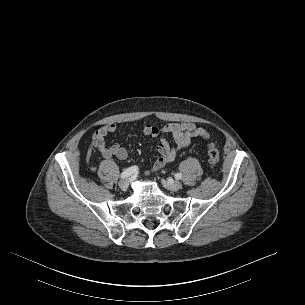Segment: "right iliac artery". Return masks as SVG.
Segmentation results:
<instances>
[{
  "label": "right iliac artery",
  "instance_id": "obj_1",
  "mask_svg": "<svg viewBox=\"0 0 305 305\" xmlns=\"http://www.w3.org/2000/svg\"><path fill=\"white\" fill-rule=\"evenodd\" d=\"M138 172V167L137 166H132L129 167L128 169L124 170L121 175L120 178L125 179L133 174H136Z\"/></svg>",
  "mask_w": 305,
  "mask_h": 305
}]
</instances>
